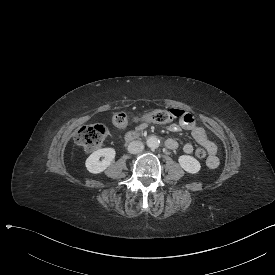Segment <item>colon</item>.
<instances>
[{
    "label": "colon",
    "instance_id": "colon-1",
    "mask_svg": "<svg viewBox=\"0 0 275 275\" xmlns=\"http://www.w3.org/2000/svg\"><path fill=\"white\" fill-rule=\"evenodd\" d=\"M148 121L155 124H168L173 122V114L168 110L150 111L147 114H137L135 116L123 117L117 114L112 122L113 129H123L124 124L134 122ZM108 136L107 129L103 125L83 126L77 133L78 144L86 151H95L101 148L103 142ZM197 158L203 159L206 156L204 148L199 147L195 150Z\"/></svg>",
    "mask_w": 275,
    "mask_h": 275
}]
</instances>
